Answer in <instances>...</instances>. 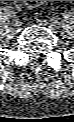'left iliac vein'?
<instances>
[{
	"label": "left iliac vein",
	"instance_id": "1",
	"mask_svg": "<svg viewBox=\"0 0 74 122\" xmlns=\"http://www.w3.org/2000/svg\"><path fill=\"white\" fill-rule=\"evenodd\" d=\"M38 22L41 25H44V26L48 27L52 32H57L58 31L59 27L54 22H48L47 20H38Z\"/></svg>",
	"mask_w": 74,
	"mask_h": 122
}]
</instances>
